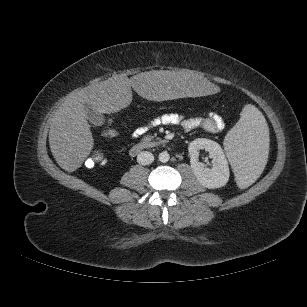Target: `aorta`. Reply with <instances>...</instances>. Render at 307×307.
<instances>
[{"label":"aorta","instance_id":"obj_1","mask_svg":"<svg viewBox=\"0 0 307 307\" xmlns=\"http://www.w3.org/2000/svg\"><path fill=\"white\" fill-rule=\"evenodd\" d=\"M158 159H159L160 162L166 163V162L169 161L170 155L167 151H163L159 154Z\"/></svg>","mask_w":307,"mask_h":307}]
</instances>
